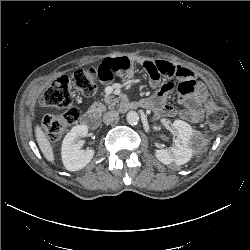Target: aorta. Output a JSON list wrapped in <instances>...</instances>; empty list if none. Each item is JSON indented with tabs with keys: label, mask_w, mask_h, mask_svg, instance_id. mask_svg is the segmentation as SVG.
<instances>
[{
	"label": "aorta",
	"mask_w": 250,
	"mask_h": 250,
	"mask_svg": "<svg viewBox=\"0 0 250 250\" xmlns=\"http://www.w3.org/2000/svg\"><path fill=\"white\" fill-rule=\"evenodd\" d=\"M126 120L131 125H136L139 122V115L135 111H129L126 116Z\"/></svg>",
	"instance_id": "obj_1"
}]
</instances>
